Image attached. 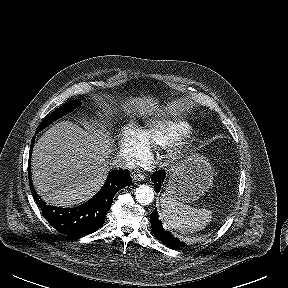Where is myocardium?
I'll list each match as a JSON object with an SVG mask.
<instances>
[{
    "label": "myocardium",
    "instance_id": "obj_1",
    "mask_svg": "<svg viewBox=\"0 0 288 288\" xmlns=\"http://www.w3.org/2000/svg\"><path fill=\"white\" fill-rule=\"evenodd\" d=\"M191 138H192V132L189 131L183 137L174 141L171 144V157L175 159L182 158L188 150Z\"/></svg>",
    "mask_w": 288,
    "mask_h": 288
}]
</instances>
